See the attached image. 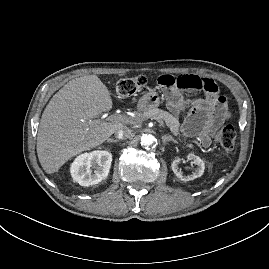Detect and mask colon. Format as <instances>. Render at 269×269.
I'll use <instances>...</instances> for the list:
<instances>
[{"mask_svg":"<svg viewBox=\"0 0 269 269\" xmlns=\"http://www.w3.org/2000/svg\"><path fill=\"white\" fill-rule=\"evenodd\" d=\"M146 84L144 76L125 78L118 82L117 92L122 96H132L137 94ZM182 87V85H181ZM216 145L226 151H231L236 143V131L233 126L225 125L221 127L214 136Z\"/></svg>","mask_w":269,"mask_h":269,"instance_id":"obj_1","label":"colon"}]
</instances>
